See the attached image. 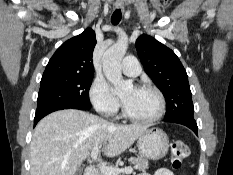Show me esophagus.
Masks as SVG:
<instances>
[{
    "label": "esophagus",
    "instance_id": "obj_1",
    "mask_svg": "<svg viewBox=\"0 0 233 175\" xmlns=\"http://www.w3.org/2000/svg\"><path fill=\"white\" fill-rule=\"evenodd\" d=\"M115 8L116 9H123L124 8V4L122 2H116L115 3Z\"/></svg>",
    "mask_w": 233,
    "mask_h": 175
}]
</instances>
